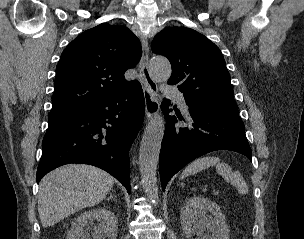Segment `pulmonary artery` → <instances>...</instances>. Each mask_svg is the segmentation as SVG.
<instances>
[{"instance_id":"e3ab8cb5","label":"pulmonary artery","mask_w":304,"mask_h":239,"mask_svg":"<svg viewBox=\"0 0 304 239\" xmlns=\"http://www.w3.org/2000/svg\"><path fill=\"white\" fill-rule=\"evenodd\" d=\"M163 92L174 99L178 102L180 108L182 109L183 112L187 113L188 112V106L185 100V97L183 93H181L179 90L172 88L170 86H163Z\"/></svg>"}]
</instances>
